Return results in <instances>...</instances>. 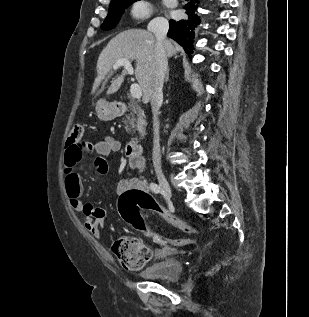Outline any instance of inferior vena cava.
<instances>
[{"instance_id": "1", "label": "inferior vena cava", "mask_w": 309, "mask_h": 317, "mask_svg": "<svg viewBox=\"0 0 309 317\" xmlns=\"http://www.w3.org/2000/svg\"><path fill=\"white\" fill-rule=\"evenodd\" d=\"M169 29V23L162 17L153 19L149 25L148 30L154 33L157 42L161 46L157 53V63L154 72L153 90L151 96V108L153 113V165L155 171H161V153H160V137H159V107L163 101V84L165 74L167 73V57L165 51L171 50V44L167 41L166 35Z\"/></svg>"}]
</instances>
